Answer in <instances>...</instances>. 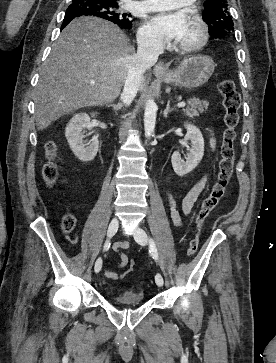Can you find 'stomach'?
<instances>
[{"label": "stomach", "instance_id": "1", "mask_svg": "<svg viewBox=\"0 0 276 363\" xmlns=\"http://www.w3.org/2000/svg\"><path fill=\"white\" fill-rule=\"evenodd\" d=\"M214 69L211 57L191 56L184 58L175 69L157 76L168 85L196 89L210 79Z\"/></svg>", "mask_w": 276, "mask_h": 363}]
</instances>
